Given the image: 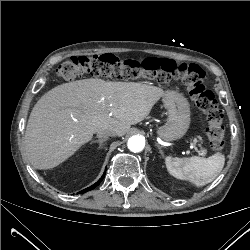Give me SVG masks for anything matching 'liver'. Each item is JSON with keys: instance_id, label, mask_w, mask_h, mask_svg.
<instances>
[{"instance_id": "6515ba94", "label": "liver", "mask_w": 250, "mask_h": 250, "mask_svg": "<svg viewBox=\"0 0 250 250\" xmlns=\"http://www.w3.org/2000/svg\"><path fill=\"white\" fill-rule=\"evenodd\" d=\"M164 95L156 86L91 78L61 84L33 107L25 151L36 169H51L72 156L99 130L125 135Z\"/></svg>"}]
</instances>
